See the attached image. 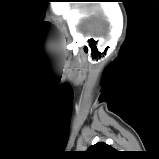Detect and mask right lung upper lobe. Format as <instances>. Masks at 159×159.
<instances>
[{
    "mask_svg": "<svg viewBox=\"0 0 159 159\" xmlns=\"http://www.w3.org/2000/svg\"><path fill=\"white\" fill-rule=\"evenodd\" d=\"M89 153L96 155V159H105L106 154L114 152V149L106 143L99 142L92 145L87 150Z\"/></svg>",
    "mask_w": 159,
    "mask_h": 159,
    "instance_id": "cb5924a9",
    "label": "right lung upper lobe"
}]
</instances>
